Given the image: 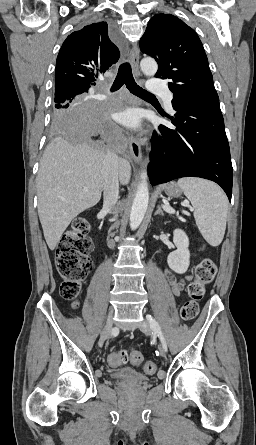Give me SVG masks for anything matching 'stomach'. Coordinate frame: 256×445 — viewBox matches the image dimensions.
Returning <instances> with one entry per match:
<instances>
[{"label": "stomach", "instance_id": "0dacf381", "mask_svg": "<svg viewBox=\"0 0 256 445\" xmlns=\"http://www.w3.org/2000/svg\"><path fill=\"white\" fill-rule=\"evenodd\" d=\"M165 193L168 197L178 198L182 194V189L175 182H170L165 186Z\"/></svg>", "mask_w": 256, "mask_h": 445}]
</instances>
